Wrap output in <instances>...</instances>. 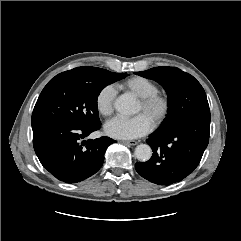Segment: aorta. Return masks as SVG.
Listing matches in <instances>:
<instances>
[{
    "instance_id": "aorta-1",
    "label": "aorta",
    "mask_w": 241,
    "mask_h": 241,
    "mask_svg": "<svg viewBox=\"0 0 241 241\" xmlns=\"http://www.w3.org/2000/svg\"><path fill=\"white\" fill-rule=\"evenodd\" d=\"M114 107L121 115L129 116L137 113L136 101L129 95L119 96L115 102ZM135 157L142 162L148 161L152 156V150L147 144H140L135 148Z\"/></svg>"
}]
</instances>
